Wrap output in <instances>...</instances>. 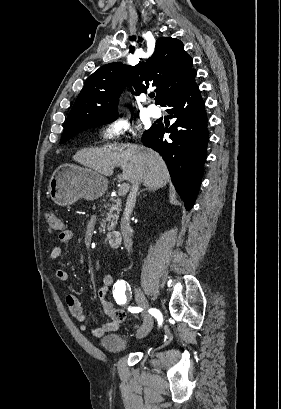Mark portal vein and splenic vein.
Returning <instances> with one entry per match:
<instances>
[{
  "label": "portal vein and splenic vein",
  "instance_id": "18ae733b",
  "mask_svg": "<svg viewBox=\"0 0 281 409\" xmlns=\"http://www.w3.org/2000/svg\"><path fill=\"white\" fill-rule=\"evenodd\" d=\"M122 186H119V195L120 196H127L128 195V190L131 188V181L130 180H123L122 181Z\"/></svg>",
  "mask_w": 281,
  "mask_h": 409
}]
</instances>
